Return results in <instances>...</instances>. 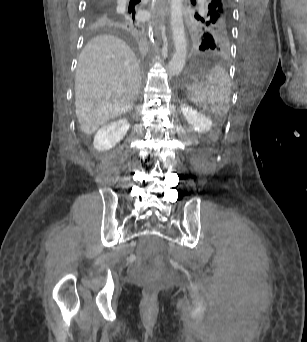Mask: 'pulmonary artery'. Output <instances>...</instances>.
<instances>
[{"instance_id": "pulmonary-artery-1", "label": "pulmonary artery", "mask_w": 307, "mask_h": 342, "mask_svg": "<svg viewBox=\"0 0 307 342\" xmlns=\"http://www.w3.org/2000/svg\"><path fill=\"white\" fill-rule=\"evenodd\" d=\"M122 2H125V1H122ZM121 10H122V11L125 10V4H124V3L122 4Z\"/></svg>"}]
</instances>
